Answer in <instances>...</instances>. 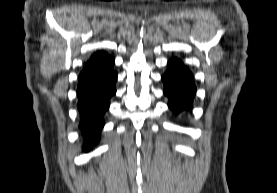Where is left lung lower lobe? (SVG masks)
<instances>
[{"instance_id": "obj_1", "label": "left lung lower lobe", "mask_w": 277, "mask_h": 193, "mask_svg": "<svg viewBox=\"0 0 277 193\" xmlns=\"http://www.w3.org/2000/svg\"><path fill=\"white\" fill-rule=\"evenodd\" d=\"M164 94L175 113L188 109L196 92L192 73L177 58L169 60V68L162 76Z\"/></svg>"}]
</instances>
